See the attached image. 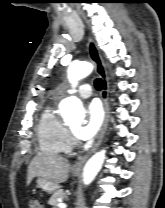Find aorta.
Segmentation results:
<instances>
[{
	"mask_svg": "<svg viewBox=\"0 0 165 208\" xmlns=\"http://www.w3.org/2000/svg\"><path fill=\"white\" fill-rule=\"evenodd\" d=\"M92 70L93 65L89 62L72 63L68 68V77L73 87L77 85L79 80L88 76ZM74 92L75 90L70 91V93ZM59 108L66 120L84 119L85 115L82 103L75 96L62 100ZM105 152V150H101L95 153L86 163L83 169V183L85 185H89L100 171L105 159Z\"/></svg>",
	"mask_w": 165,
	"mask_h": 208,
	"instance_id": "aorta-1",
	"label": "aorta"
}]
</instances>
